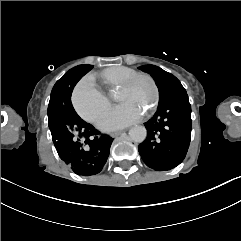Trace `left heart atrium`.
<instances>
[{
	"instance_id": "39dd6f15",
	"label": "left heart atrium",
	"mask_w": 241,
	"mask_h": 241,
	"mask_svg": "<svg viewBox=\"0 0 241 241\" xmlns=\"http://www.w3.org/2000/svg\"><path fill=\"white\" fill-rule=\"evenodd\" d=\"M141 115L136 110L116 107L106 111L97 121V126L104 131H114L127 127L140 120Z\"/></svg>"
}]
</instances>
